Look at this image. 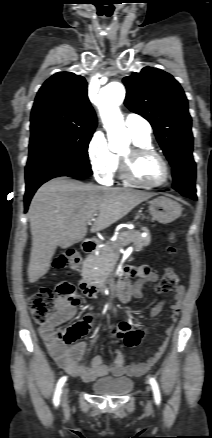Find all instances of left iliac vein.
<instances>
[{"mask_svg":"<svg viewBox=\"0 0 212 438\" xmlns=\"http://www.w3.org/2000/svg\"><path fill=\"white\" fill-rule=\"evenodd\" d=\"M147 391H149V388H147ZM148 404H149V405L151 404V403H150V401H149V403H148Z\"/></svg>","mask_w":212,"mask_h":438,"instance_id":"left-iliac-vein-1","label":"left iliac vein"}]
</instances>
